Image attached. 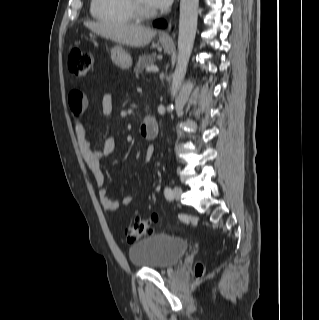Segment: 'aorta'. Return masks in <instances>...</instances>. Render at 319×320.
I'll return each instance as SVG.
<instances>
[{
  "label": "aorta",
  "mask_w": 319,
  "mask_h": 320,
  "mask_svg": "<svg viewBox=\"0 0 319 320\" xmlns=\"http://www.w3.org/2000/svg\"><path fill=\"white\" fill-rule=\"evenodd\" d=\"M198 7L199 0H180L178 56L171 86L172 98L177 95L187 71L197 31Z\"/></svg>",
  "instance_id": "aorta-1"
}]
</instances>
